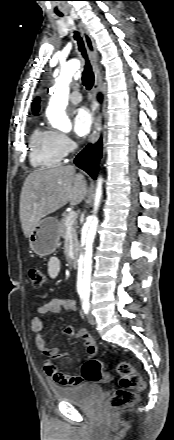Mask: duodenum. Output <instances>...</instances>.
<instances>
[{
  "label": "duodenum",
  "instance_id": "duodenum-1",
  "mask_svg": "<svg viewBox=\"0 0 174 440\" xmlns=\"http://www.w3.org/2000/svg\"><path fill=\"white\" fill-rule=\"evenodd\" d=\"M70 263H71L72 268H74V269L79 266V255L77 252H74L72 254Z\"/></svg>",
  "mask_w": 174,
  "mask_h": 440
}]
</instances>
